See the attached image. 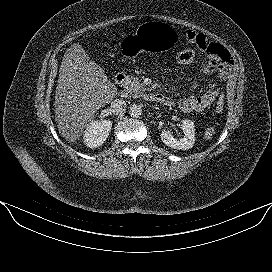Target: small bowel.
I'll return each instance as SVG.
<instances>
[{
	"label": "small bowel",
	"instance_id": "small-bowel-1",
	"mask_svg": "<svg viewBox=\"0 0 272 272\" xmlns=\"http://www.w3.org/2000/svg\"><path fill=\"white\" fill-rule=\"evenodd\" d=\"M186 39L196 45L206 55L207 61L202 65V71L204 73H214L217 81H224L233 62L230 52L224 46L210 41L202 33L189 30L186 32ZM218 95L219 87L217 84H214L201 95L181 98L177 102V106L183 112L202 111L209 107Z\"/></svg>",
	"mask_w": 272,
	"mask_h": 272
}]
</instances>
